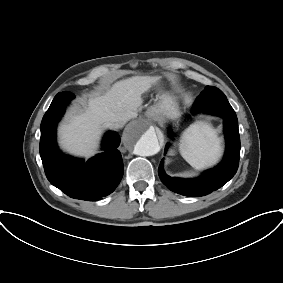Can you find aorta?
<instances>
[{"label": "aorta", "instance_id": "aorta-1", "mask_svg": "<svg viewBox=\"0 0 283 283\" xmlns=\"http://www.w3.org/2000/svg\"><path fill=\"white\" fill-rule=\"evenodd\" d=\"M123 142L140 156H153L160 151L156 129L146 121L131 123L123 134Z\"/></svg>", "mask_w": 283, "mask_h": 283}]
</instances>
